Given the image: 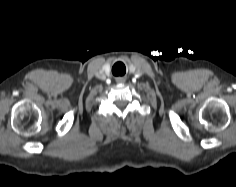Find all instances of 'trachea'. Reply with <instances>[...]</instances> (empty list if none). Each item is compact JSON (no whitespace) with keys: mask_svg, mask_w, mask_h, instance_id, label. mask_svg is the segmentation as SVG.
I'll list each match as a JSON object with an SVG mask.
<instances>
[{"mask_svg":"<svg viewBox=\"0 0 236 187\" xmlns=\"http://www.w3.org/2000/svg\"><path fill=\"white\" fill-rule=\"evenodd\" d=\"M125 71V66L122 63H116L112 68V73L115 76L123 75Z\"/></svg>","mask_w":236,"mask_h":187,"instance_id":"3493384b","label":"trachea"}]
</instances>
